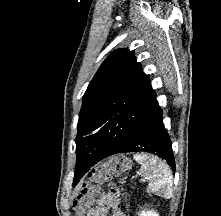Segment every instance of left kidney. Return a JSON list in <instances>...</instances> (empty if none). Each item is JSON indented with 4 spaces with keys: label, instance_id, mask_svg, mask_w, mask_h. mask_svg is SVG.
<instances>
[{
    "label": "left kidney",
    "instance_id": "left-kidney-1",
    "mask_svg": "<svg viewBox=\"0 0 221 216\" xmlns=\"http://www.w3.org/2000/svg\"><path fill=\"white\" fill-rule=\"evenodd\" d=\"M139 216H159L155 211L153 210H147V211H142Z\"/></svg>",
    "mask_w": 221,
    "mask_h": 216
}]
</instances>
